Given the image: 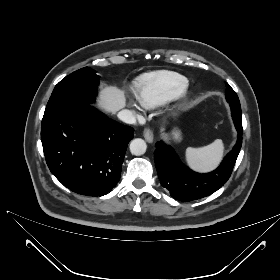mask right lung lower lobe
Instances as JSON below:
<instances>
[{
  "label": "right lung lower lobe",
  "mask_w": 280,
  "mask_h": 280,
  "mask_svg": "<svg viewBox=\"0 0 280 280\" xmlns=\"http://www.w3.org/2000/svg\"><path fill=\"white\" fill-rule=\"evenodd\" d=\"M133 132L89 104L65 102L45 110L41 141L50 171L65 187L103 196L120 180Z\"/></svg>",
  "instance_id": "98d812e1"
}]
</instances>
